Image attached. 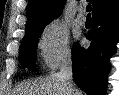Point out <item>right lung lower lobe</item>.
Instances as JSON below:
<instances>
[{
	"instance_id": "98d812e1",
	"label": "right lung lower lobe",
	"mask_w": 119,
	"mask_h": 95,
	"mask_svg": "<svg viewBox=\"0 0 119 95\" xmlns=\"http://www.w3.org/2000/svg\"><path fill=\"white\" fill-rule=\"evenodd\" d=\"M86 38L91 41L89 48L78 43L72 48L73 79L87 95H105L109 59L119 42V5L94 17Z\"/></svg>"
}]
</instances>
